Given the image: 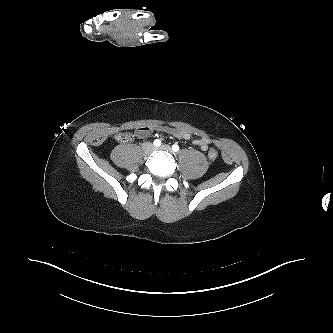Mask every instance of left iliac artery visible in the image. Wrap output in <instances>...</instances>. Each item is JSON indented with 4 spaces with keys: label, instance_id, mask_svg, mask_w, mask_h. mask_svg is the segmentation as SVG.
I'll use <instances>...</instances> for the list:
<instances>
[{
    "label": "left iliac artery",
    "instance_id": "left-iliac-artery-1",
    "mask_svg": "<svg viewBox=\"0 0 333 333\" xmlns=\"http://www.w3.org/2000/svg\"><path fill=\"white\" fill-rule=\"evenodd\" d=\"M172 150L174 152H178L179 151V146L177 144L172 145Z\"/></svg>",
    "mask_w": 333,
    "mask_h": 333
}]
</instances>
